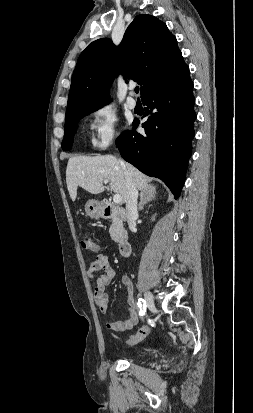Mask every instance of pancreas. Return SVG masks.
<instances>
[{"label":"pancreas","mask_w":253,"mask_h":413,"mask_svg":"<svg viewBox=\"0 0 253 413\" xmlns=\"http://www.w3.org/2000/svg\"><path fill=\"white\" fill-rule=\"evenodd\" d=\"M124 228L122 221L119 218H114L112 220V225L110 226V236L113 241H119L120 236L124 233Z\"/></svg>","instance_id":"pancreas-1"}]
</instances>
